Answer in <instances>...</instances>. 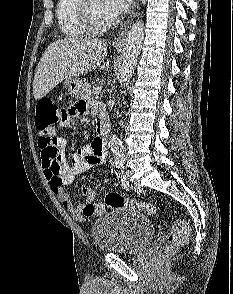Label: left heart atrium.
Instances as JSON below:
<instances>
[{
	"label": "left heart atrium",
	"mask_w": 233,
	"mask_h": 294,
	"mask_svg": "<svg viewBox=\"0 0 233 294\" xmlns=\"http://www.w3.org/2000/svg\"><path fill=\"white\" fill-rule=\"evenodd\" d=\"M132 0H104V10L107 16L114 20L127 12Z\"/></svg>",
	"instance_id": "left-heart-atrium-1"
}]
</instances>
